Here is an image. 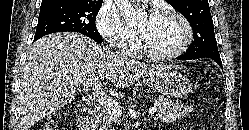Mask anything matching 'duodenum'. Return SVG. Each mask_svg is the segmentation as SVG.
I'll return each instance as SVG.
<instances>
[{"instance_id":"410a0bca","label":"duodenum","mask_w":249,"mask_h":130,"mask_svg":"<svg viewBox=\"0 0 249 130\" xmlns=\"http://www.w3.org/2000/svg\"><path fill=\"white\" fill-rule=\"evenodd\" d=\"M99 118V107L92 102L87 103L81 110L79 130H95Z\"/></svg>"}]
</instances>
